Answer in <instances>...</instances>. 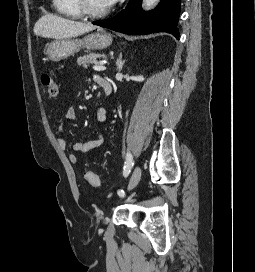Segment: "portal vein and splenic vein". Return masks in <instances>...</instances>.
I'll list each match as a JSON object with an SVG mask.
<instances>
[{
    "mask_svg": "<svg viewBox=\"0 0 255 272\" xmlns=\"http://www.w3.org/2000/svg\"><path fill=\"white\" fill-rule=\"evenodd\" d=\"M93 69L95 71H104L106 70V67L104 66V63H99L98 65L93 66Z\"/></svg>",
    "mask_w": 255,
    "mask_h": 272,
    "instance_id": "18ae733b",
    "label": "portal vein and splenic vein"
}]
</instances>
